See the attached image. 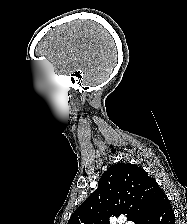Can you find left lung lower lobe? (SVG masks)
<instances>
[{"label":"left lung lower lobe","instance_id":"left-lung-lower-lobe-1","mask_svg":"<svg viewBox=\"0 0 187 224\" xmlns=\"http://www.w3.org/2000/svg\"><path fill=\"white\" fill-rule=\"evenodd\" d=\"M141 224H175V214L162 189L159 191L150 213Z\"/></svg>","mask_w":187,"mask_h":224}]
</instances>
